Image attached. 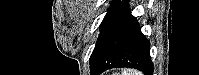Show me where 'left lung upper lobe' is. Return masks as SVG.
<instances>
[{
	"mask_svg": "<svg viewBox=\"0 0 199 75\" xmlns=\"http://www.w3.org/2000/svg\"><path fill=\"white\" fill-rule=\"evenodd\" d=\"M120 1L119 0H115L114 2L111 3V6L109 8V10L107 11L106 16L104 17L102 23L100 24V34L105 26V24L107 23L108 19L110 18V16L114 13V11L117 9V7L119 6ZM100 36V35H99ZM99 38V37H98Z\"/></svg>",
	"mask_w": 199,
	"mask_h": 75,
	"instance_id": "left-lung-upper-lobe-1",
	"label": "left lung upper lobe"
}]
</instances>
